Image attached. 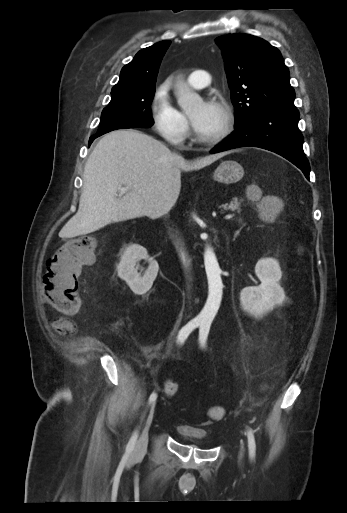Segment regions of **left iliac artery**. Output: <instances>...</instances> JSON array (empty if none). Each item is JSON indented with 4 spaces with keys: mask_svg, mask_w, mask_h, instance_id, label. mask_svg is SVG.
I'll return each mask as SVG.
<instances>
[{
    "mask_svg": "<svg viewBox=\"0 0 347 513\" xmlns=\"http://www.w3.org/2000/svg\"><path fill=\"white\" fill-rule=\"evenodd\" d=\"M210 326H211L210 320H205L200 325L199 342H200L201 347H203V348L206 346ZM247 438H248L249 457L251 460H253V458L255 457L256 444H255V438H254V435H253V432L251 429H248V431H247Z\"/></svg>",
    "mask_w": 347,
    "mask_h": 513,
    "instance_id": "left-iliac-artery-1",
    "label": "left iliac artery"
}]
</instances>
